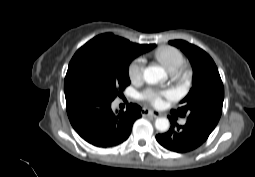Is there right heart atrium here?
<instances>
[{"instance_id":"d8ad5b80","label":"right heart atrium","mask_w":255,"mask_h":177,"mask_svg":"<svg viewBox=\"0 0 255 177\" xmlns=\"http://www.w3.org/2000/svg\"><path fill=\"white\" fill-rule=\"evenodd\" d=\"M145 64H146V61L144 57L142 56H138L130 62L128 67V73H129L130 79L133 82H138L142 79L143 72L145 69Z\"/></svg>"}]
</instances>
